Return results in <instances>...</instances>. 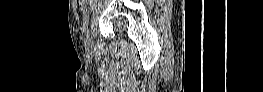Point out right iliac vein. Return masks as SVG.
Segmentation results:
<instances>
[{
    "instance_id": "right-iliac-vein-1",
    "label": "right iliac vein",
    "mask_w": 263,
    "mask_h": 92,
    "mask_svg": "<svg viewBox=\"0 0 263 92\" xmlns=\"http://www.w3.org/2000/svg\"><path fill=\"white\" fill-rule=\"evenodd\" d=\"M85 45L88 48H90L92 46V39H91L90 35L86 36V38H85Z\"/></svg>"
}]
</instances>
